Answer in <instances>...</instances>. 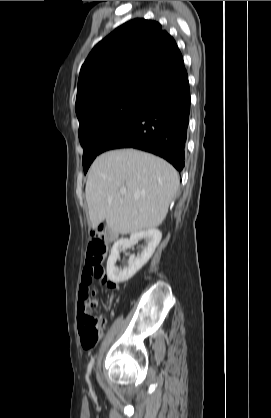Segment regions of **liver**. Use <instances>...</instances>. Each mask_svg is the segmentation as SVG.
Returning a JSON list of instances; mask_svg holds the SVG:
<instances>
[{
  "mask_svg": "<svg viewBox=\"0 0 271 418\" xmlns=\"http://www.w3.org/2000/svg\"><path fill=\"white\" fill-rule=\"evenodd\" d=\"M179 186L175 168L135 149L105 152L92 163L85 193L92 228L106 220L114 233L158 227Z\"/></svg>",
  "mask_w": 271,
  "mask_h": 418,
  "instance_id": "6515ba94",
  "label": "liver"
}]
</instances>
